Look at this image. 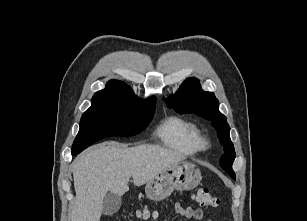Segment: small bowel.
<instances>
[{"mask_svg":"<svg viewBox=\"0 0 307 221\" xmlns=\"http://www.w3.org/2000/svg\"><path fill=\"white\" fill-rule=\"evenodd\" d=\"M175 211L182 217L193 218L196 221L204 220V213L201 209H192L190 207H183L180 204H175Z\"/></svg>","mask_w":307,"mask_h":221,"instance_id":"1","label":"small bowel"}]
</instances>
